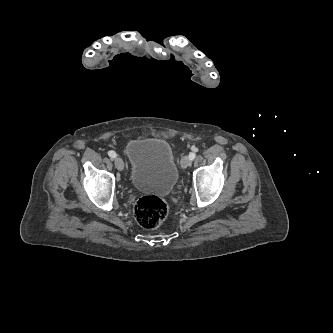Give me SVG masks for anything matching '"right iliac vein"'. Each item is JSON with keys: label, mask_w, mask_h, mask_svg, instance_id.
Here are the masks:
<instances>
[{"label": "right iliac vein", "mask_w": 333, "mask_h": 333, "mask_svg": "<svg viewBox=\"0 0 333 333\" xmlns=\"http://www.w3.org/2000/svg\"><path fill=\"white\" fill-rule=\"evenodd\" d=\"M114 164L118 170L122 171L124 169V162L120 157L114 158Z\"/></svg>", "instance_id": "obj_1"}]
</instances>
